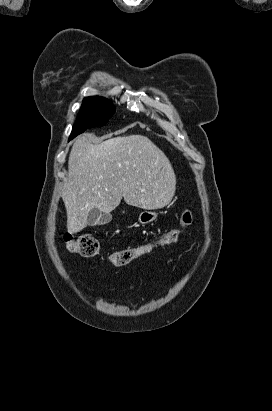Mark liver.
<instances>
[{"mask_svg":"<svg viewBox=\"0 0 272 411\" xmlns=\"http://www.w3.org/2000/svg\"><path fill=\"white\" fill-rule=\"evenodd\" d=\"M176 190L169 159L149 138L118 136L93 144L88 135L77 138L68 160V181L62 199L67 230L87 226L90 210L109 214L121 202L145 210L167 206Z\"/></svg>","mask_w":272,"mask_h":411,"instance_id":"6515ba94","label":"liver"}]
</instances>
